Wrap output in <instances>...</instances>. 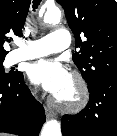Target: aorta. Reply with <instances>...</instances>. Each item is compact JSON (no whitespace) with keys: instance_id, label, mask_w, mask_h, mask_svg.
Here are the masks:
<instances>
[{"instance_id":"obj_1","label":"aorta","mask_w":117,"mask_h":136,"mask_svg":"<svg viewBox=\"0 0 117 136\" xmlns=\"http://www.w3.org/2000/svg\"><path fill=\"white\" fill-rule=\"evenodd\" d=\"M61 19V11L58 8L47 9L44 15V22L47 24L59 23ZM40 136H62L61 126L57 120L47 121L40 133Z\"/></svg>"}]
</instances>
